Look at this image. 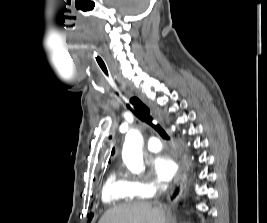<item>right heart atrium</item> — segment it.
Returning a JSON list of instances; mask_svg holds the SVG:
<instances>
[{
  "instance_id": "right-heart-atrium-1",
  "label": "right heart atrium",
  "mask_w": 267,
  "mask_h": 223,
  "mask_svg": "<svg viewBox=\"0 0 267 223\" xmlns=\"http://www.w3.org/2000/svg\"><path fill=\"white\" fill-rule=\"evenodd\" d=\"M131 184L135 196L143 198L153 196L160 188L159 184L156 182L141 179H134L131 181Z\"/></svg>"
}]
</instances>
